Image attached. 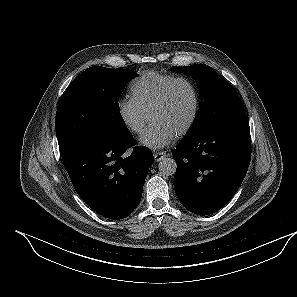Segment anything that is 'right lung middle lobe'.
Wrapping results in <instances>:
<instances>
[{
    "label": "right lung middle lobe",
    "mask_w": 297,
    "mask_h": 297,
    "mask_svg": "<svg viewBox=\"0 0 297 297\" xmlns=\"http://www.w3.org/2000/svg\"><path fill=\"white\" fill-rule=\"evenodd\" d=\"M136 72L90 67L64 91L58 105L55 128L62 158L87 140L103 135L129 134L118 99Z\"/></svg>",
    "instance_id": "obj_1"
}]
</instances>
